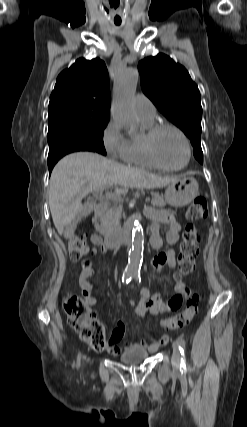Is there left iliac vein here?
I'll return each mask as SVG.
<instances>
[{"label":"left iliac vein","instance_id":"4c4485c4","mask_svg":"<svg viewBox=\"0 0 247 427\" xmlns=\"http://www.w3.org/2000/svg\"><path fill=\"white\" fill-rule=\"evenodd\" d=\"M173 354H172V365L175 369H178L180 366V351H179V342L176 340L172 344Z\"/></svg>","mask_w":247,"mask_h":427}]
</instances>
